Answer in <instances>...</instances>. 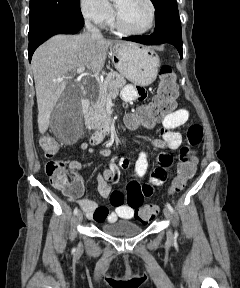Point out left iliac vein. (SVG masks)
Segmentation results:
<instances>
[{
    "mask_svg": "<svg viewBox=\"0 0 240 288\" xmlns=\"http://www.w3.org/2000/svg\"><path fill=\"white\" fill-rule=\"evenodd\" d=\"M163 213H164V216H165L167 219H170L171 214H170V210H169L167 207H164ZM167 238H168V240H172V239H173V233H172L171 228H169V229L167 230Z\"/></svg>",
    "mask_w": 240,
    "mask_h": 288,
    "instance_id": "1",
    "label": "left iliac vein"
}]
</instances>
